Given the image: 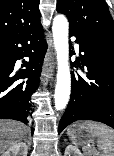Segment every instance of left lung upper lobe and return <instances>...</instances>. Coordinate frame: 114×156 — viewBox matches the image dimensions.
Masks as SVG:
<instances>
[{"instance_id": "left-lung-upper-lobe-1", "label": "left lung upper lobe", "mask_w": 114, "mask_h": 156, "mask_svg": "<svg viewBox=\"0 0 114 156\" xmlns=\"http://www.w3.org/2000/svg\"><path fill=\"white\" fill-rule=\"evenodd\" d=\"M57 12L69 19V30L114 54V21L105 0H58Z\"/></svg>"}]
</instances>
